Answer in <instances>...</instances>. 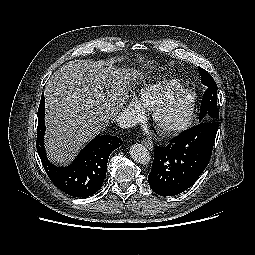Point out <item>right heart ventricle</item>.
<instances>
[{
	"label": "right heart ventricle",
	"instance_id": "obj_1",
	"mask_svg": "<svg viewBox=\"0 0 255 255\" xmlns=\"http://www.w3.org/2000/svg\"><path fill=\"white\" fill-rule=\"evenodd\" d=\"M183 87V83L179 80L162 79L142 87L136 95V102L146 110H153Z\"/></svg>",
	"mask_w": 255,
	"mask_h": 255
}]
</instances>
